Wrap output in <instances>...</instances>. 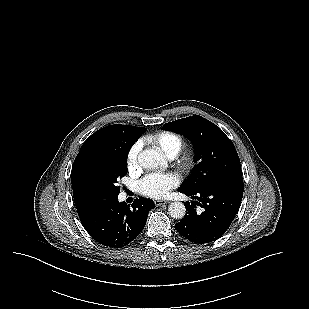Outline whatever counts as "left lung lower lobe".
<instances>
[{"mask_svg":"<svg viewBox=\"0 0 309 309\" xmlns=\"http://www.w3.org/2000/svg\"><path fill=\"white\" fill-rule=\"evenodd\" d=\"M243 182H226L196 192L180 191L196 203L187 202L184 218L175 225L185 239L195 244H206L220 238L230 227L243 197ZM203 208L201 214L195 208Z\"/></svg>","mask_w":309,"mask_h":309,"instance_id":"1","label":"left lung lower lobe"}]
</instances>
